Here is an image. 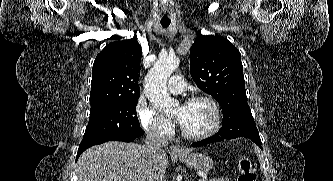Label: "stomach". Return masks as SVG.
<instances>
[{"label":"stomach","instance_id":"1","mask_svg":"<svg viewBox=\"0 0 333 181\" xmlns=\"http://www.w3.org/2000/svg\"><path fill=\"white\" fill-rule=\"evenodd\" d=\"M181 162L197 172L207 173L213 168V160L204 154L188 152L184 155H178Z\"/></svg>","mask_w":333,"mask_h":181}]
</instances>
